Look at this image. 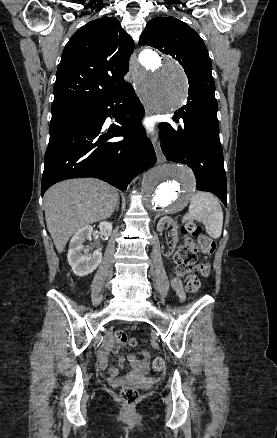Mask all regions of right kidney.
Wrapping results in <instances>:
<instances>
[{"instance_id":"right-kidney-1","label":"right kidney","mask_w":277,"mask_h":438,"mask_svg":"<svg viewBox=\"0 0 277 438\" xmlns=\"http://www.w3.org/2000/svg\"><path fill=\"white\" fill-rule=\"evenodd\" d=\"M98 228L100 234L105 238L111 236L113 226L110 222H99ZM92 232V226H84L70 240L67 260L76 276H88L98 268L102 260V248L89 254V250H85V246H83L86 240H91Z\"/></svg>"}]
</instances>
